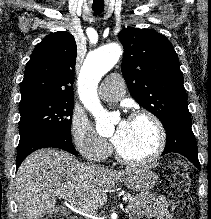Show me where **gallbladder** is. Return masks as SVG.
Returning a JSON list of instances; mask_svg holds the SVG:
<instances>
[{"mask_svg":"<svg viewBox=\"0 0 211 219\" xmlns=\"http://www.w3.org/2000/svg\"><path fill=\"white\" fill-rule=\"evenodd\" d=\"M56 212L58 214H65V210L63 208H60V207L56 209Z\"/></svg>","mask_w":211,"mask_h":219,"instance_id":"1","label":"gallbladder"}]
</instances>
